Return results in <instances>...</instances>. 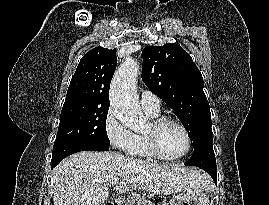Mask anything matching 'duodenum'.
I'll return each mask as SVG.
<instances>
[{"mask_svg": "<svg viewBox=\"0 0 269 205\" xmlns=\"http://www.w3.org/2000/svg\"><path fill=\"white\" fill-rule=\"evenodd\" d=\"M104 205H114L112 202H107Z\"/></svg>", "mask_w": 269, "mask_h": 205, "instance_id": "410a0bca", "label": "duodenum"}]
</instances>
